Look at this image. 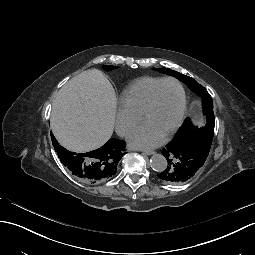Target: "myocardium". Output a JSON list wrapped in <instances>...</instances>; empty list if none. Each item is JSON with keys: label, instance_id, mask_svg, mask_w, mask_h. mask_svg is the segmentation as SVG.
Returning <instances> with one entry per match:
<instances>
[{"label": "myocardium", "instance_id": "f54148a6", "mask_svg": "<svg viewBox=\"0 0 255 255\" xmlns=\"http://www.w3.org/2000/svg\"><path fill=\"white\" fill-rule=\"evenodd\" d=\"M168 82L175 83L179 87V89L181 91L182 101H181L180 113H179L176 123L174 124V126L172 127L170 132L163 138V140L166 142L169 141L174 136V134L177 132V130L181 127L184 117H185L187 98H186V92H185V89H184L182 83L179 80L172 78V77H168V78H164V79L160 80L151 89L148 99H147L146 103L144 104L143 109L140 114V121H142V119L149 113V111L151 110V108L153 106L157 90L159 89V87L161 85H163L164 83H168Z\"/></svg>", "mask_w": 255, "mask_h": 255}]
</instances>
